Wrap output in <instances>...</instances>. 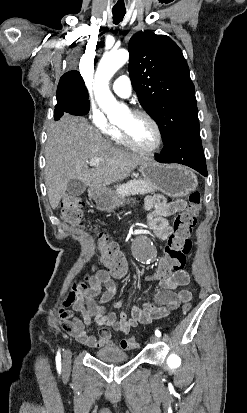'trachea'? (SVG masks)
Masks as SVG:
<instances>
[{"instance_id": "1", "label": "trachea", "mask_w": 247, "mask_h": 413, "mask_svg": "<svg viewBox=\"0 0 247 413\" xmlns=\"http://www.w3.org/2000/svg\"><path fill=\"white\" fill-rule=\"evenodd\" d=\"M126 11H113V21L114 23H120L125 16Z\"/></svg>"}]
</instances>
